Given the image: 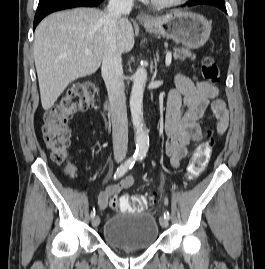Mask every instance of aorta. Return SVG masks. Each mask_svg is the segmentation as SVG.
I'll return each mask as SVG.
<instances>
[{
    "label": "aorta",
    "instance_id": "aorta-1",
    "mask_svg": "<svg viewBox=\"0 0 265 269\" xmlns=\"http://www.w3.org/2000/svg\"><path fill=\"white\" fill-rule=\"evenodd\" d=\"M147 81V71L144 66L139 67L133 78V86L130 95V111L132 122L136 129L135 154L144 158L149 148V136L143 120V93Z\"/></svg>",
    "mask_w": 265,
    "mask_h": 269
}]
</instances>
